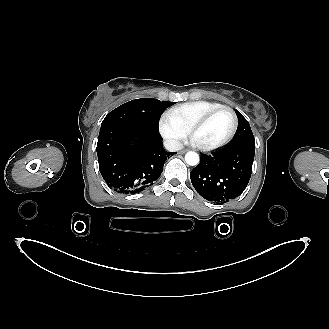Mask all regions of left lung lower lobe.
<instances>
[{
	"label": "left lung lower lobe",
	"mask_w": 329,
	"mask_h": 329,
	"mask_svg": "<svg viewBox=\"0 0 329 329\" xmlns=\"http://www.w3.org/2000/svg\"><path fill=\"white\" fill-rule=\"evenodd\" d=\"M255 143L229 144L210 155L201 154L191 171L195 190L206 200L225 203L246 188L252 173Z\"/></svg>",
	"instance_id": "0a47b994"
}]
</instances>
